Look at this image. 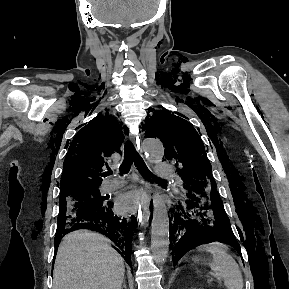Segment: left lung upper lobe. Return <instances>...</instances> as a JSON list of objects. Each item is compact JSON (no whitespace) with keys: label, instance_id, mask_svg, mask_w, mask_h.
<instances>
[{"label":"left lung upper lobe","instance_id":"5c2ea615","mask_svg":"<svg viewBox=\"0 0 289 289\" xmlns=\"http://www.w3.org/2000/svg\"><path fill=\"white\" fill-rule=\"evenodd\" d=\"M146 129L145 137L160 138L166 147V158L178 166L177 172L183 181V191L197 185L206 190L211 187L216 189L204 145L198 132L188 121L157 110Z\"/></svg>","mask_w":289,"mask_h":289}]
</instances>
